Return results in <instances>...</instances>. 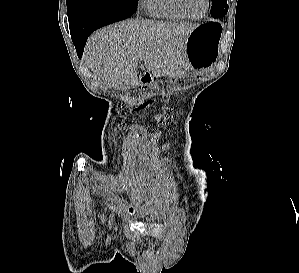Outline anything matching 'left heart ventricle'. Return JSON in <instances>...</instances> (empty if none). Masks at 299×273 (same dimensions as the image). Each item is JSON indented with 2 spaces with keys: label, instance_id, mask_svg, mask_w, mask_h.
<instances>
[{
  "label": "left heart ventricle",
  "instance_id": "left-heart-ventricle-1",
  "mask_svg": "<svg viewBox=\"0 0 299 273\" xmlns=\"http://www.w3.org/2000/svg\"><path fill=\"white\" fill-rule=\"evenodd\" d=\"M184 5L192 16H200L205 10V0H184Z\"/></svg>",
  "mask_w": 299,
  "mask_h": 273
}]
</instances>
